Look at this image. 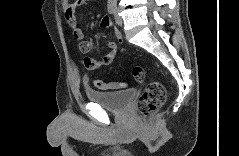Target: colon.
Wrapping results in <instances>:
<instances>
[{"instance_id":"obj_1","label":"colon","mask_w":239,"mask_h":156,"mask_svg":"<svg viewBox=\"0 0 239 156\" xmlns=\"http://www.w3.org/2000/svg\"><path fill=\"white\" fill-rule=\"evenodd\" d=\"M133 76L137 82H144L146 78L144 68L135 66L133 68ZM95 85L104 90L119 89L126 86L124 82H105L101 80H96ZM165 100L166 89L164 84L160 81H152L139 97L137 110L142 117H149L165 103Z\"/></svg>"}]
</instances>
